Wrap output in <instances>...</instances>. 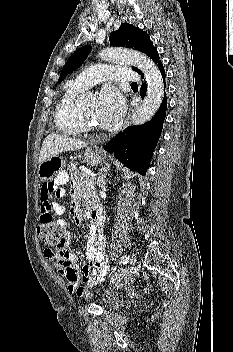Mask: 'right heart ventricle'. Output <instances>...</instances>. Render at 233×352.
Wrapping results in <instances>:
<instances>
[{
  "label": "right heart ventricle",
  "mask_w": 233,
  "mask_h": 352,
  "mask_svg": "<svg viewBox=\"0 0 233 352\" xmlns=\"http://www.w3.org/2000/svg\"><path fill=\"white\" fill-rule=\"evenodd\" d=\"M84 89L73 81L66 84L64 93L55 109V123L57 128L67 135H78L83 131L79 106L76 97Z\"/></svg>",
  "instance_id": "right-heart-ventricle-1"
}]
</instances>
